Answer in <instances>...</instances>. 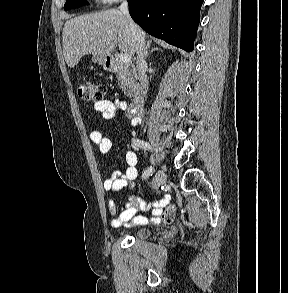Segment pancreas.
<instances>
[{
    "instance_id": "1",
    "label": "pancreas",
    "mask_w": 288,
    "mask_h": 293,
    "mask_svg": "<svg viewBox=\"0 0 288 293\" xmlns=\"http://www.w3.org/2000/svg\"><path fill=\"white\" fill-rule=\"evenodd\" d=\"M135 67L131 63L118 61V83L128 97H132L137 88Z\"/></svg>"
}]
</instances>
